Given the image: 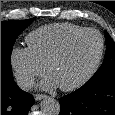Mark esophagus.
<instances>
[{"instance_id":"obj_1","label":"esophagus","mask_w":115,"mask_h":115,"mask_svg":"<svg viewBox=\"0 0 115 115\" xmlns=\"http://www.w3.org/2000/svg\"><path fill=\"white\" fill-rule=\"evenodd\" d=\"M45 97H46V95H44V94H35L34 95V98L36 101L44 99Z\"/></svg>"}]
</instances>
